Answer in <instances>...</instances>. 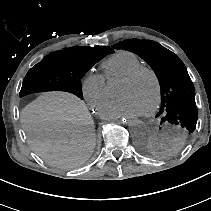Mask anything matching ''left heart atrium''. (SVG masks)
<instances>
[{
    "label": "left heart atrium",
    "instance_id": "1",
    "mask_svg": "<svg viewBox=\"0 0 211 211\" xmlns=\"http://www.w3.org/2000/svg\"><path fill=\"white\" fill-rule=\"evenodd\" d=\"M142 113L143 111L130 97L123 96L108 102L101 110L100 115L103 118L115 119L139 116Z\"/></svg>",
    "mask_w": 211,
    "mask_h": 211
}]
</instances>
